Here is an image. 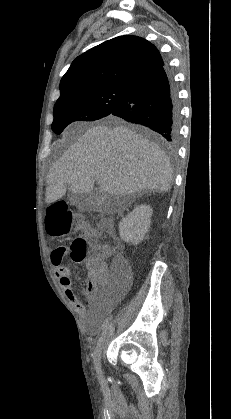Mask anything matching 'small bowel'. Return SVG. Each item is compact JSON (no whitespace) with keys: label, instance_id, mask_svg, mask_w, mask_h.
<instances>
[{"label":"small bowel","instance_id":"small-bowel-1","mask_svg":"<svg viewBox=\"0 0 231 419\" xmlns=\"http://www.w3.org/2000/svg\"><path fill=\"white\" fill-rule=\"evenodd\" d=\"M66 253H67L66 247H58L50 251L49 257H50L52 267L54 269L56 277L59 280L60 287L62 288L66 298L75 307L80 317L84 319L87 332L91 335H94L98 333L100 329V324L94 318L88 317V312L86 310V307L83 305V303L80 301V299L72 290V279L70 276V271L68 267L63 263V259ZM126 284H127V281L123 282L121 284L120 290H123ZM95 290H96V287H91L88 283V287L86 290L87 297L90 299L93 298L95 294Z\"/></svg>","mask_w":231,"mask_h":419}]
</instances>
